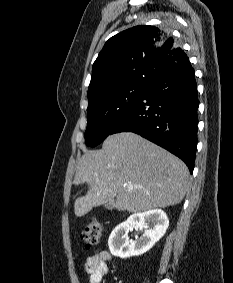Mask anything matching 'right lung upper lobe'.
<instances>
[{"label":"right lung upper lobe","instance_id":"1","mask_svg":"<svg viewBox=\"0 0 233 283\" xmlns=\"http://www.w3.org/2000/svg\"><path fill=\"white\" fill-rule=\"evenodd\" d=\"M187 55L172 37L155 26H136L111 37L92 67L89 104L128 85H149Z\"/></svg>","mask_w":233,"mask_h":283}]
</instances>
